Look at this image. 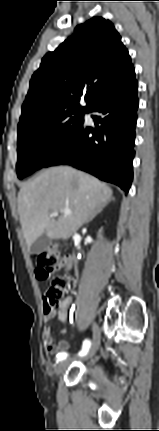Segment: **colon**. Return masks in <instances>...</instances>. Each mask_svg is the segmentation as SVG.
Returning <instances> with one entry per match:
<instances>
[{
	"mask_svg": "<svg viewBox=\"0 0 159 431\" xmlns=\"http://www.w3.org/2000/svg\"><path fill=\"white\" fill-rule=\"evenodd\" d=\"M59 253L54 248H46L35 255L36 275L39 279H47L58 267ZM67 287L64 276L56 275L51 278L50 286L44 293V307L47 313H53L61 304Z\"/></svg>",
	"mask_w": 159,
	"mask_h": 431,
	"instance_id": "obj_1",
	"label": "colon"
}]
</instances>
